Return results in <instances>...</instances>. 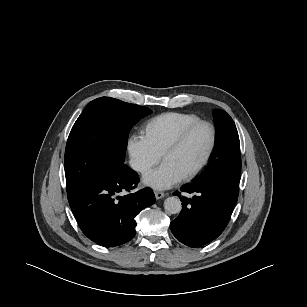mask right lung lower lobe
Listing matches in <instances>:
<instances>
[{
    "label": "right lung lower lobe",
    "mask_w": 307,
    "mask_h": 307,
    "mask_svg": "<svg viewBox=\"0 0 307 307\" xmlns=\"http://www.w3.org/2000/svg\"><path fill=\"white\" fill-rule=\"evenodd\" d=\"M139 182L136 172L125 164L91 184L68 194V201L82 232L95 243L114 247L131 240L136 231L135 217L152 205L151 189L119 196Z\"/></svg>",
    "instance_id": "98d812e1"
}]
</instances>
